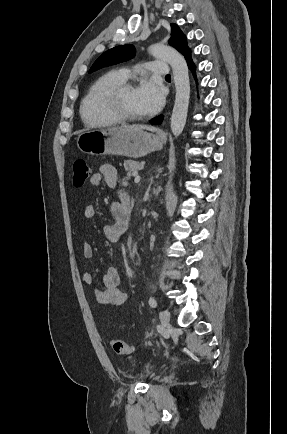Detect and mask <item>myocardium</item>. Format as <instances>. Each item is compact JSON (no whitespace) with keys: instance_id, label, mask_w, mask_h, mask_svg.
<instances>
[{"instance_id":"f54148a6","label":"myocardium","mask_w":287,"mask_h":434,"mask_svg":"<svg viewBox=\"0 0 287 434\" xmlns=\"http://www.w3.org/2000/svg\"><path fill=\"white\" fill-rule=\"evenodd\" d=\"M128 89H134L133 83L123 82L109 88L103 97V104L110 115L120 122H137L143 120L145 115H132L125 111L122 105V96Z\"/></svg>"}]
</instances>
